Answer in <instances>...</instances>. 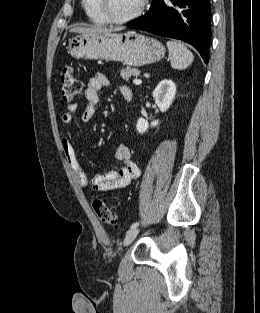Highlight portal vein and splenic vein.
<instances>
[{"mask_svg":"<svg viewBox=\"0 0 260 313\" xmlns=\"http://www.w3.org/2000/svg\"><path fill=\"white\" fill-rule=\"evenodd\" d=\"M133 83L136 85H140L142 83V81L140 79H134Z\"/></svg>","mask_w":260,"mask_h":313,"instance_id":"1","label":"portal vein and splenic vein"}]
</instances>
